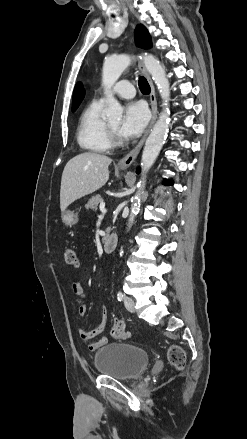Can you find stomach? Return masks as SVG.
I'll list each match as a JSON object with an SVG mask.
<instances>
[{
	"label": "stomach",
	"instance_id": "stomach-1",
	"mask_svg": "<svg viewBox=\"0 0 247 439\" xmlns=\"http://www.w3.org/2000/svg\"><path fill=\"white\" fill-rule=\"evenodd\" d=\"M79 218L78 213L71 210L62 211V221L65 225L73 226L77 224Z\"/></svg>",
	"mask_w": 247,
	"mask_h": 439
}]
</instances>
